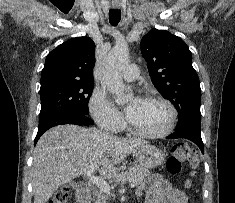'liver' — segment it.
<instances>
[{"label":"liver","instance_id":"1","mask_svg":"<svg viewBox=\"0 0 235 203\" xmlns=\"http://www.w3.org/2000/svg\"><path fill=\"white\" fill-rule=\"evenodd\" d=\"M143 145L145 141L140 139L104 135L77 125L51 128L41 136L33 153L34 203H46L58 188L95 165L101 177L117 176L116 165Z\"/></svg>","mask_w":235,"mask_h":203}]
</instances>
